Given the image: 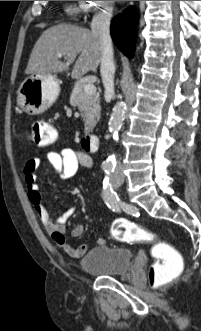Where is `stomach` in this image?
<instances>
[{"label": "stomach", "instance_id": "stomach-1", "mask_svg": "<svg viewBox=\"0 0 201 331\" xmlns=\"http://www.w3.org/2000/svg\"><path fill=\"white\" fill-rule=\"evenodd\" d=\"M59 94V82L52 74H35L21 83L17 104L28 115H40L53 105Z\"/></svg>", "mask_w": 201, "mask_h": 331}]
</instances>
